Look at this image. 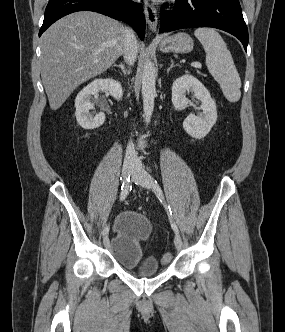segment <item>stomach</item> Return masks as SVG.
Listing matches in <instances>:
<instances>
[{"mask_svg": "<svg viewBox=\"0 0 285 332\" xmlns=\"http://www.w3.org/2000/svg\"><path fill=\"white\" fill-rule=\"evenodd\" d=\"M193 40L187 33L179 32L175 35L165 36L160 40L159 47L162 52L189 53L193 50Z\"/></svg>", "mask_w": 285, "mask_h": 332, "instance_id": "obj_1", "label": "stomach"}]
</instances>
